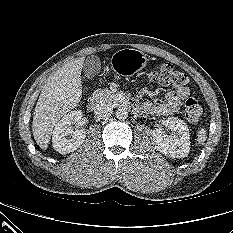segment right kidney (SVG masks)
Returning a JSON list of instances; mask_svg holds the SVG:
<instances>
[{"instance_id": "1", "label": "right kidney", "mask_w": 233, "mask_h": 233, "mask_svg": "<svg viewBox=\"0 0 233 233\" xmlns=\"http://www.w3.org/2000/svg\"><path fill=\"white\" fill-rule=\"evenodd\" d=\"M82 118L81 110H74L65 115L56 124L52 132V145L60 154H67L75 151L84 142L86 137L85 129L74 130L72 124Z\"/></svg>"}]
</instances>
